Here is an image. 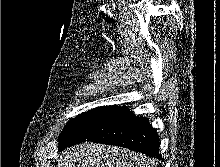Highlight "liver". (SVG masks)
Returning <instances> with one entry per match:
<instances>
[{
	"label": "liver",
	"instance_id": "6515ba94",
	"mask_svg": "<svg viewBox=\"0 0 220 167\" xmlns=\"http://www.w3.org/2000/svg\"><path fill=\"white\" fill-rule=\"evenodd\" d=\"M58 167H149V162L128 149L83 142L67 148Z\"/></svg>",
	"mask_w": 220,
	"mask_h": 167
}]
</instances>
